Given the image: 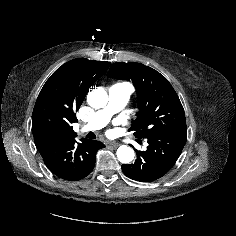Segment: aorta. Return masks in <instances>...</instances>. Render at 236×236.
Here are the masks:
<instances>
[{
	"label": "aorta",
	"mask_w": 236,
	"mask_h": 236,
	"mask_svg": "<svg viewBox=\"0 0 236 236\" xmlns=\"http://www.w3.org/2000/svg\"><path fill=\"white\" fill-rule=\"evenodd\" d=\"M87 102L92 108H103L108 102L107 92L102 88L94 89L88 94ZM134 156V150L127 145H122L117 149V158L121 163H130Z\"/></svg>",
	"instance_id": "762f6f07"
}]
</instances>
